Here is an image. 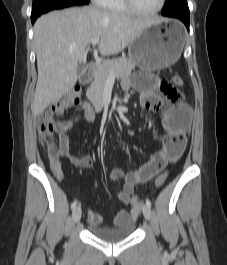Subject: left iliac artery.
I'll use <instances>...</instances> for the list:
<instances>
[{
    "label": "left iliac artery",
    "mask_w": 227,
    "mask_h": 265,
    "mask_svg": "<svg viewBox=\"0 0 227 265\" xmlns=\"http://www.w3.org/2000/svg\"><path fill=\"white\" fill-rule=\"evenodd\" d=\"M146 204L151 207V201L148 198H146Z\"/></svg>",
    "instance_id": "1"
}]
</instances>
